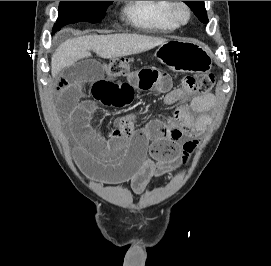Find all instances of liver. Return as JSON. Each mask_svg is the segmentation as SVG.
<instances>
[{
  "mask_svg": "<svg viewBox=\"0 0 271 266\" xmlns=\"http://www.w3.org/2000/svg\"><path fill=\"white\" fill-rule=\"evenodd\" d=\"M167 41L138 34L88 35L69 39L52 56V77L58 76L59 67H70L74 62L90 57V50L101 58L111 59L145 52Z\"/></svg>",
  "mask_w": 271,
  "mask_h": 266,
  "instance_id": "1",
  "label": "liver"
}]
</instances>
